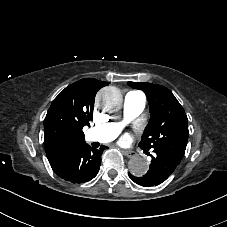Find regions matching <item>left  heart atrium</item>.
Instances as JSON below:
<instances>
[{"label": "left heart atrium", "mask_w": 227, "mask_h": 227, "mask_svg": "<svg viewBox=\"0 0 227 227\" xmlns=\"http://www.w3.org/2000/svg\"><path fill=\"white\" fill-rule=\"evenodd\" d=\"M136 129L139 130V127H137ZM127 135H128V133L125 134V136H127Z\"/></svg>", "instance_id": "left-heart-atrium-1"}]
</instances>
